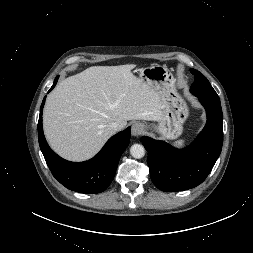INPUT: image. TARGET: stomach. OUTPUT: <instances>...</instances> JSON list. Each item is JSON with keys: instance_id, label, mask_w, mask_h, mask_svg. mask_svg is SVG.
<instances>
[{"instance_id": "1", "label": "stomach", "mask_w": 253, "mask_h": 253, "mask_svg": "<svg viewBox=\"0 0 253 253\" xmlns=\"http://www.w3.org/2000/svg\"><path fill=\"white\" fill-rule=\"evenodd\" d=\"M139 78L161 94L162 116L157 124L151 125V129L163 139H176L183 132L188 108L174 87L171 71L165 66L151 65L140 69Z\"/></svg>"}]
</instances>
